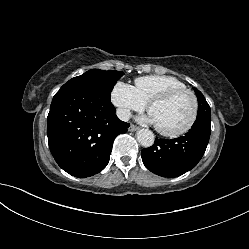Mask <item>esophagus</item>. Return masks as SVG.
<instances>
[{
  "label": "esophagus",
  "instance_id": "1",
  "mask_svg": "<svg viewBox=\"0 0 249 249\" xmlns=\"http://www.w3.org/2000/svg\"><path fill=\"white\" fill-rule=\"evenodd\" d=\"M129 131L133 132V131H136L138 130V127H136L135 125H130L129 128H128Z\"/></svg>",
  "mask_w": 249,
  "mask_h": 249
}]
</instances>
